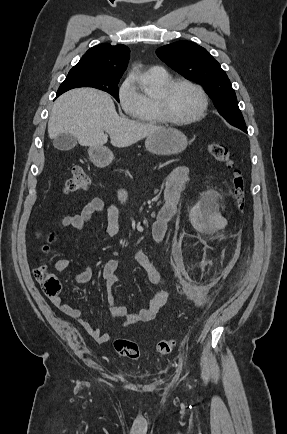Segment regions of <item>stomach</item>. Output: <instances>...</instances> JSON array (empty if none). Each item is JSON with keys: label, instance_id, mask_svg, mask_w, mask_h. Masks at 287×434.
I'll return each mask as SVG.
<instances>
[{"label": "stomach", "instance_id": "stomach-1", "mask_svg": "<svg viewBox=\"0 0 287 434\" xmlns=\"http://www.w3.org/2000/svg\"><path fill=\"white\" fill-rule=\"evenodd\" d=\"M187 137L175 128H164L146 138V149L155 155H175L186 149ZM91 161L98 166L109 165L114 155L108 148L90 147L88 150Z\"/></svg>", "mask_w": 287, "mask_h": 434}]
</instances>
